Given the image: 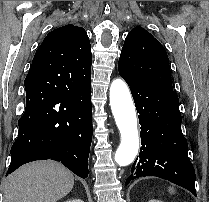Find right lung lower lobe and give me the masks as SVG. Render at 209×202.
Segmentation results:
<instances>
[{
    "mask_svg": "<svg viewBox=\"0 0 209 202\" xmlns=\"http://www.w3.org/2000/svg\"><path fill=\"white\" fill-rule=\"evenodd\" d=\"M24 85L26 108L18 121L7 174L30 161L52 159L86 178L93 134L91 83H61L31 66Z\"/></svg>",
    "mask_w": 209,
    "mask_h": 202,
    "instance_id": "obj_1",
    "label": "right lung lower lobe"
}]
</instances>
